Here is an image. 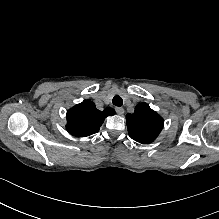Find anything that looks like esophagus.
<instances>
[{
	"mask_svg": "<svg viewBox=\"0 0 219 219\" xmlns=\"http://www.w3.org/2000/svg\"><path fill=\"white\" fill-rule=\"evenodd\" d=\"M116 112L119 114V115H123L124 114V109L122 107H116L115 108Z\"/></svg>",
	"mask_w": 219,
	"mask_h": 219,
	"instance_id": "obj_1",
	"label": "esophagus"
}]
</instances>
